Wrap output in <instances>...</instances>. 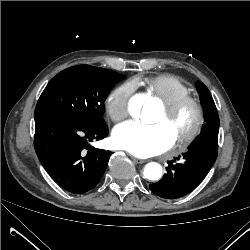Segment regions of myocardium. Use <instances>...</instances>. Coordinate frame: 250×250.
<instances>
[{"mask_svg": "<svg viewBox=\"0 0 250 250\" xmlns=\"http://www.w3.org/2000/svg\"><path fill=\"white\" fill-rule=\"evenodd\" d=\"M186 108L193 110L194 120L186 132L176 136L175 142L180 148H185L191 144L201 132L205 121L203 105L196 96L191 94L183 95L169 103H163V109L167 120L173 119Z\"/></svg>", "mask_w": 250, "mask_h": 250, "instance_id": "myocardium-1", "label": "myocardium"}]
</instances>
